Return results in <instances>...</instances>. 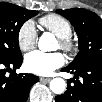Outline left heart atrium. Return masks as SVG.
<instances>
[{"label": "left heart atrium", "instance_id": "left-heart-atrium-1", "mask_svg": "<svg viewBox=\"0 0 102 102\" xmlns=\"http://www.w3.org/2000/svg\"><path fill=\"white\" fill-rule=\"evenodd\" d=\"M65 58L61 53H43L41 51H33L26 57L27 69L37 75L46 76L61 66H63Z\"/></svg>", "mask_w": 102, "mask_h": 102}]
</instances>
